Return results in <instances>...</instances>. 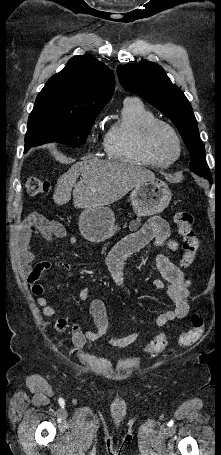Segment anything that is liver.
Wrapping results in <instances>:
<instances>
[{
	"label": "liver",
	"instance_id": "6515ba94",
	"mask_svg": "<svg viewBox=\"0 0 221 455\" xmlns=\"http://www.w3.org/2000/svg\"><path fill=\"white\" fill-rule=\"evenodd\" d=\"M82 179L76 183L79 175ZM155 178L152 171L140 166L97 158L75 163L57 181L53 199L57 205L71 200L75 208L110 205L124 197L146 179Z\"/></svg>",
	"mask_w": 221,
	"mask_h": 455
}]
</instances>
